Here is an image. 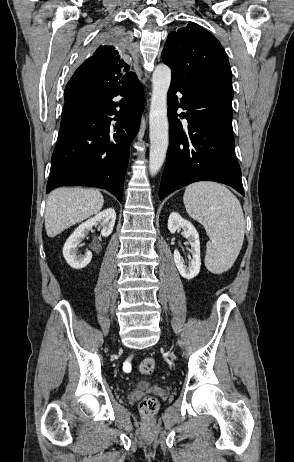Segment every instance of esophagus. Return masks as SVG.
<instances>
[{"label":"esophagus","instance_id":"obj_1","mask_svg":"<svg viewBox=\"0 0 294 462\" xmlns=\"http://www.w3.org/2000/svg\"><path fill=\"white\" fill-rule=\"evenodd\" d=\"M131 55H132V57H133V59H134V66H135V68L139 71V73H141L140 68H139V66H138V56H139L138 50H137V49H133V50L131 51Z\"/></svg>","mask_w":294,"mask_h":462}]
</instances>
